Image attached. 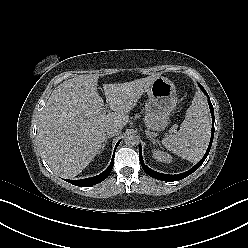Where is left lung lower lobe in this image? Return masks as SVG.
I'll return each mask as SVG.
<instances>
[{"mask_svg": "<svg viewBox=\"0 0 248 248\" xmlns=\"http://www.w3.org/2000/svg\"><path fill=\"white\" fill-rule=\"evenodd\" d=\"M201 90L204 92L205 95L208 96L207 92L205 91V89L203 88V86L199 85ZM208 104L211 110V115H212V134H211V139H210V143L208 146V149L205 153V155L203 156V158L189 171L185 172V173H181V174H177V175H167V174H162V173H158L156 171H153L152 169H150L149 167H147L144 164L143 158H142V147L140 145L139 148V159H140V164L143 168V170L151 177L158 179V180H162V181H168V182H172V181H177V180H181L187 176H189L190 174H192L194 171H196L205 161L206 157L209 154L211 145H212V141H213V136H214V109H213V105L211 104L210 98H208Z\"/></svg>", "mask_w": 248, "mask_h": 248, "instance_id": "0a47b994", "label": "left lung lower lobe"}]
</instances>
